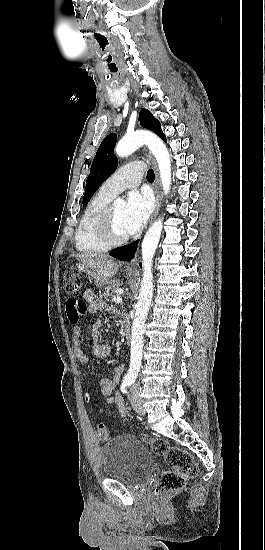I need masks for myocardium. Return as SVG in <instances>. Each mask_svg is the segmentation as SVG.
<instances>
[{"instance_id":"f54148a6","label":"myocardium","mask_w":265,"mask_h":550,"mask_svg":"<svg viewBox=\"0 0 265 550\" xmlns=\"http://www.w3.org/2000/svg\"><path fill=\"white\" fill-rule=\"evenodd\" d=\"M113 206L114 205L110 203L104 209L97 222V231L100 237L110 247L122 245L132 236L131 234L124 236H119L116 234L113 221Z\"/></svg>"}]
</instances>
